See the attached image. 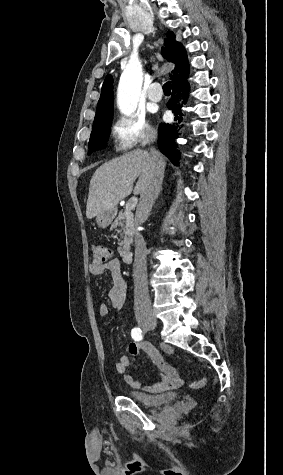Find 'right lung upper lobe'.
<instances>
[{
	"label": "right lung upper lobe",
	"instance_id": "obj_1",
	"mask_svg": "<svg viewBox=\"0 0 283 475\" xmlns=\"http://www.w3.org/2000/svg\"><path fill=\"white\" fill-rule=\"evenodd\" d=\"M164 46L162 48L163 57L175 64V68L170 74L172 81H174L177 77L189 71L187 54L182 44L175 40L173 32H168L167 38L164 40ZM113 100V78L108 75L102 85L97 107L113 105Z\"/></svg>",
	"mask_w": 283,
	"mask_h": 475
}]
</instances>
